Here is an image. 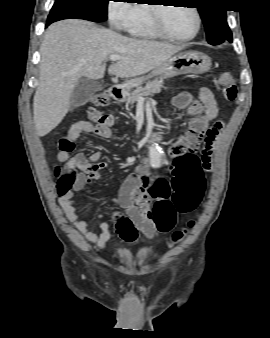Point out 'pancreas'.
Here are the masks:
<instances>
[{"label":"pancreas","mask_w":270,"mask_h":338,"mask_svg":"<svg viewBox=\"0 0 270 338\" xmlns=\"http://www.w3.org/2000/svg\"><path fill=\"white\" fill-rule=\"evenodd\" d=\"M162 87H163V78L149 81L145 87H137L132 92L126 93V98L124 99V101H126L127 104L133 105L136 101H138L141 98L160 93Z\"/></svg>","instance_id":"pancreas-1"}]
</instances>
